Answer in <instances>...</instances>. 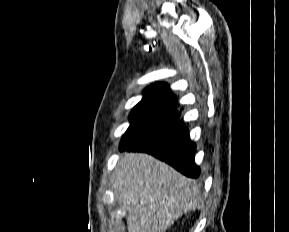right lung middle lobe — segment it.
<instances>
[{
    "instance_id": "obj_1",
    "label": "right lung middle lobe",
    "mask_w": 289,
    "mask_h": 232,
    "mask_svg": "<svg viewBox=\"0 0 289 232\" xmlns=\"http://www.w3.org/2000/svg\"><path fill=\"white\" fill-rule=\"evenodd\" d=\"M180 116V112L175 110L139 103L129 116L131 124L122 137L120 148L139 141L163 126L178 120Z\"/></svg>"
}]
</instances>
